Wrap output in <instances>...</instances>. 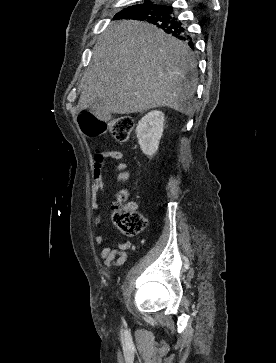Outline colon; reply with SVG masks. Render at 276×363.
Instances as JSON below:
<instances>
[{
    "label": "colon",
    "instance_id": "1",
    "mask_svg": "<svg viewBox=\"0 0 276 363\" xmlns=\"http://www.w3.org/2000/svg\"><path fill=\"white\" fill-rule=\"evenodd\" d=\"M81 130L90 137L110 133L116 142L127 143L134 128V119L130 116H118L110 120H99L89 112L79 116ZM127 199V192L122 191L118 200ZM111 218L118 229L126 236L133 237L143 231L146 222L142 214L130 206L115 205L111 211Z\"/></svg>",
    "mask_w": 276,
    "mask_h": 363
}]
</instances>
